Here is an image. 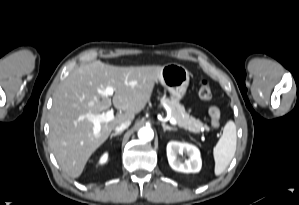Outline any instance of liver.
<instances>
[{"mask_svg":"<svg viewBox=\"0 0 299 205\" xmlns=\"http://www.w3.org/2000/svg\"><path fill=\"white\" fill-rule=\"evenodd\" d=\"M161 70V66L117 67L95 61L70 73L54 94L49 118V145L67 175L78 178L111 131L145 108ZM108 86L115 90L112 98L103 94ZM112 104L120 112L101 123L95 135L87 115L100 114Z\"/></svg>","mask_w":299,"mask_h":205,"instance_id":"liver-1","label":"liver"}]
</instances>
